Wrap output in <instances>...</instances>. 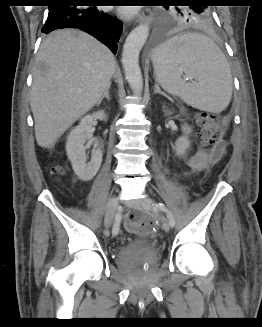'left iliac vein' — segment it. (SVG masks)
<instances>
[{
    "instance_id": "4c4485c4",
    "label": "left iliac vein",
    "mask_w": 262,
    "mask_h": 327,
    "mask_svg": "<svg viewBox=\"0 0 262 327\" xmlns=\"http://www.w3.org/2000/svg\"><path fill=\"white\" fill-rule=\"evenodd\" d=\"M152 204H153V200L149 197H145L142 201H141V206L147 210L152 209ZM162 221V228L168 232L170 230V224L168 222V220L164 217H162L161 219Z\"/></svg>"
}]
</instances>
